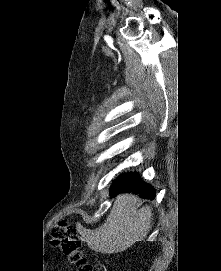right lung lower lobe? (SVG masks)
<instances>
[{
    "label": "right lung lower lobe",
    "mask_w": 221,
    "mask_h": 271,
    "mask_svg": "<svg viewBox=\"0 0 221 271\" xmlns=\"http://www.w3.org/2000/svg\"><path fill=\"white\" fill-rule=\"evenodd\" d=\"M110 195L113 197L115 194L127 192L138 194L142 198L153 199L155 198V191L149 185L143 182L139 175L134 173H127L119 176L112 185L110 189Z\"/></svg>",
    "instance_id": "right-lung-lower-lobe-1"
}]
</instances>
